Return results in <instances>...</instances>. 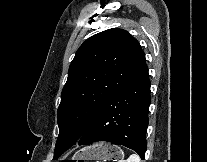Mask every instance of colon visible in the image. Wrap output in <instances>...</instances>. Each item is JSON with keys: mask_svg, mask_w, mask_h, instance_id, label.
<instances>
[{"mask_svg": "<svg viewBox=\"0 0 207 162\" xmlns=\"http://www.w3.org/2000/svg\"><path fill=\"white\" fill-rule=\"evenodd\" d=\"M62 162H86V161L69 159V160H64Z\"/></svg>", "mask_w": 207, "mask_h": 162, "instance_id": "5ec220e1", "label": "colon"}]
</instances>
